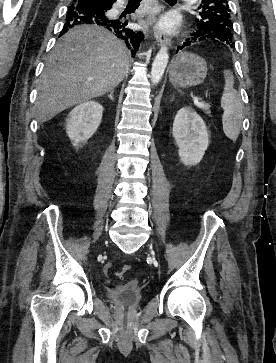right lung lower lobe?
Wrapping results in <instances>:
<instances>
[{
  "label": "right lung lower lobe",
  "instance_id": "obj_1",
  "mask_svg": "<svg viewBox=\"0 0 276 363\" xmlns=\"http://www.w3.org/2000/svg\"><path fill=\"white\" fill-rule=\"evenodd\" d=\"M75 2V4H72L68 8L66 23L60 35L78 24H95L113 32L118 38L125 42L131 52L135 53L138 50L139 45L144 38L143 33L126 28L125 23L118 20L110 19L107 16V12L112 8V5H101L96 0H77Z\"/></svg>",
  "mask_w": 276,
  "mask_h": 363
}]
</instances>
